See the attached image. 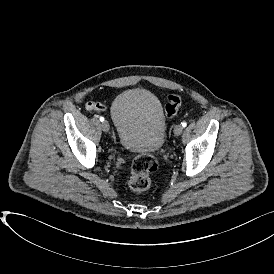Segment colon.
Returning <instances> with one entry per match:
<instances>
[{"instance_id": "1", "label": "colon", "mask_w": 274, "mask_h": 274, "mask_svg": "<svg viewBox=\"0 0 274 274\" xmlns=\"http://www.w3.org/2000/svg\"><path fill=\"white\" fill-rule=\"evenodd\" d=\"M181 98L178 95H170L165 105V114L168 118L176 115L181 105ZM156 159L153 155L139 154L131 163V174L128 185L133 192L142 193L149 190L153 185L151 172L156 170Z\"/></svg>"}]
</instances>
